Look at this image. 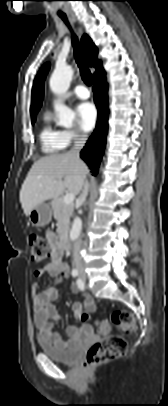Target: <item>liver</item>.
Returning a JSON list of instances; mask_svg holds the SVG:
<instances>
[{"label":"liver","mask_w":168,"mask_h":406,"mask_svg":"<svg viewBox=\"0 0 168 406\" xmlns=\"http://www.w3.org/2000/svg\"><path fill=\"white\" fill-rule=\"evenodd\" d=\"M87 174V166L69 153L40 158L32 165L20 190L24 214L28 216L37 205L59 197L65 189L79 194Z\"/></svg>","instance_id":"obj_1"}]
</instances>
